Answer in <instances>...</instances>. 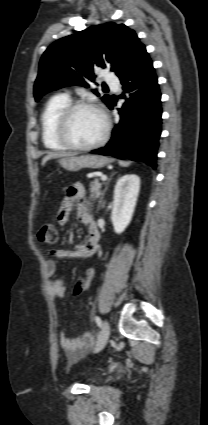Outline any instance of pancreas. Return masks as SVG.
Here are the masks:
<instances>
[{
    "mask_svg": "<svg viewBox=\"0 0 208 425\" xmlns=\"http://www.w3.org/2000/svg\"><path fill=\"white\" fill-rule=\"evenodd\" d=\"M102 183L96 178L92 181L90 185V199L94 200L100 197Z\"/></svg>",
    "mask_w": 208,
    "mask_h": 425,
    "instance_id": "cf45deb5",
    "label": "pancreas"
}]
</instances>
